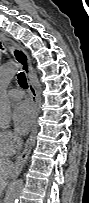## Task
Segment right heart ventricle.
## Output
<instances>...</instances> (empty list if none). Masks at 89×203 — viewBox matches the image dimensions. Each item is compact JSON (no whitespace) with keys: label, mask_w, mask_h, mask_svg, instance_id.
<instances>
[{"label":"right heart ventricle","mask_w":89,"mask_h":203,"mask_svg":"<svg viewBox=\"0 0 89 203\" xmlns=\"http://www.w3.org/2000/svg\"><path fill=\"white\" fill-rule=\"evenodd\" d=\"M14 153V150L9 148L2 137V133L0 134V159H5L10 157Z\"/></svg>","instance_id":"e07e8e85"}]
</instances>
